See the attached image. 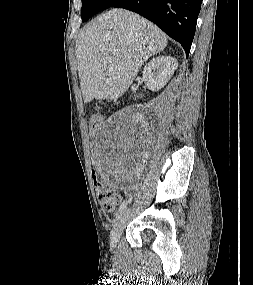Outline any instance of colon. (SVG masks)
Segmentation results:
<instances>
[{"mask_svg": "<svg viewBox=\"0 0 253 285\" xmlns=\"http://www.w3.org/2000/svg\"><path fill=\"white\" fill-rule=\"evenodd\" d=\"M101 124V117L98 114H94L90 118L89 127H90V146H89V167L91 175L94 176L95 180V188L98 196V200L101 208L106 213H111L115 210L116 206L119 203L120 196L118 192L106 185L101 180V175L99 172V167H96V163L98 162L96 148L98 145V127Z\"/></svg>", "mask_w": 253, "mask_h": 285, "instance_id": "colon-1", "label": "colon"}]
</instances>
